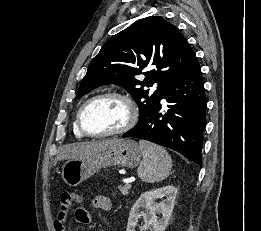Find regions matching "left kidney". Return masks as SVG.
<instances>
[{
    "instance_id": "left-kidney-1",
    "label": "left kidney",
    "mask_w": 261,
    "mask_h": 231,
    "mask_svg": "<svg viewBox=\"0 0 261 231\" xmlns=\"http://www.w3.org/2000/svg\"><path fill=\"white\" fill-rule=\"evenodd\" d=\"M176 196L177 188L174 186H166L141 194L130 210L126 231H135L141 216L145 222L142 231H164L172 214ZM163 197H166L164 202H155L156 199ZM142 207L146 209V212L141 210ZM158 214L162 215L161 219H158Z\"/></svg>"
}]
</instances>
